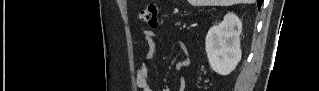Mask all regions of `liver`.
<instances>
[{
	"label": "liver",
	"instance_id": "obj_1",
	"mask_svg": "<svg viewBox=\"0 0 319 91\" xmlns=\"http://www.w3.org/2000/svg\"><path fill=\"white\" fill-rule=\"evenodd\" d=\"M193 6H230L233 4H252L255 0H188Z\"/></svg>",
	"mask_w": 319,
	"mask_h": 91
}]
</instances>
